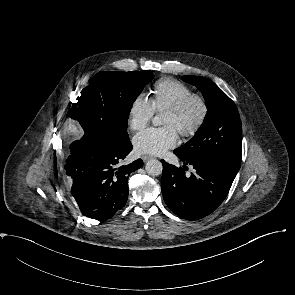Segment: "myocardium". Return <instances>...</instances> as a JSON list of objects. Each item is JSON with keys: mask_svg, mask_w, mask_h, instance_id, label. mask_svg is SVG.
Masks as SVG:
<instances>
[{"mask_svg": "<svg viewBox=\"0 0 295 295\" xmlns=\"http://www.w3.org/2000/svg\"><path fill=\"white\" fill-rule=\"evenodd\" d=\"M194 105H197L199 108L198 115L192 124L181 127L178 130L182 136L190 137L195 135L206 122L210 111V105L207 97L202 93H191L178 104L165 111V113L183 118Z\"/></svg>", "mask_w": 295, "mask_h": 295, "instance_id": "1", "label": "myocardium"}]
</instances>
